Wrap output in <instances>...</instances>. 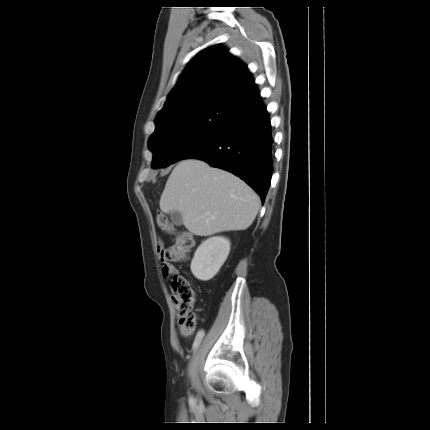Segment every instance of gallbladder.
Masks as SVG:
<instances>
[{"mask_svg":"<svg viewBox=\"0 0 430 430\" xmlns=\"http://www.w3.org/2000/svg\"><path fill=\"white\" fill-rule=\"evenodd\" d=\"M170 218L172 220V222L176 225V226H181L182 222H183V218L180 212L178 211H173L170 214Z\"/></svg>","mask_w":430,"mask_h":430,"instance_id":"obj_1","label":"gallbladder"}]
</instances>
